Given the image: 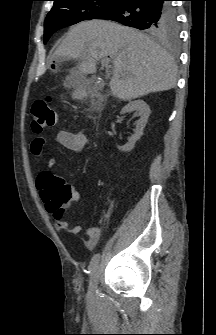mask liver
Here are the masks:
<instances>
[{"mask_svg": "<svg viewBox=\"0 0 216 335\" xmlns=\"http://www.w3.org/2000/svg\"><path fill=\"white\" fill-rule=\"evenodd\" d=\"M113 62L112 95L123 101L175 87L177 66L159 44L136 29L105 20L84 21L73 26L53 54L56 60L79 59L66 78L67 87L80 86L96 72L100 58Z\"/></svg>", "mask_w": 216, "mask_h": 335, "instance_id": "obj_1", "label": "liver"}]
</instances>
